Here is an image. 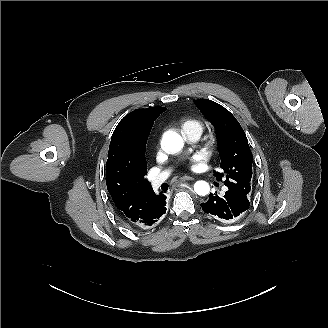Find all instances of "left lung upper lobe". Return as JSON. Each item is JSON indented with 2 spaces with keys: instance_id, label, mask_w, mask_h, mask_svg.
<instances>
[{
  "instance_id": "obj_1",
  "label": "left lung upper lobe",
  "mask_w": 328,
  "mask_h": 328,
  "mask_svg": "<svg viewBox=\"0 0 328 328\" xmlns=\"http://www.w3.org/2000/svg\"><path fill=\"white\" fill-rule=\"evenodd\" d=\"M194 103L216 129L221 159L220 172H214L216 179H223L228 189L248 197L253 159L241 125L226 108L214 101L198 99Z\"/></svg>"
}]
</instances>
